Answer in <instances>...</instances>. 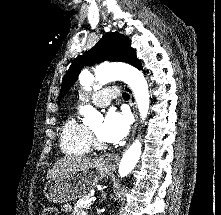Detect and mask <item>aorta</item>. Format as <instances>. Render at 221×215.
<instances>
[{
	"label": "aorta",
	"instance_id": "obj_1",
	"mask_svg": "<svg viewBox=\"0 0 221 215\" xmlns=\"http://www.w3.org/2000/svg\"><path fill=\"white\" fill-rule=\"evenodd\" d=\"M115 80L124 81L132 89L140 117L145 120L150 104L148 84L144 75L135 67L124 63L101 64L95 69L96 83L91 84V82L84 80L82 85L85 91H91ZM79 113L83 116V122L88 125L100 116L97 110L89 104L82 106ZM141 152L142 144L139 139H136L126 150L120 161L118 173L121 178L127 176L134 169Z\"/></svg>",
	"mask_w": 221,
	"mask_h": 215
}]
</instances>
